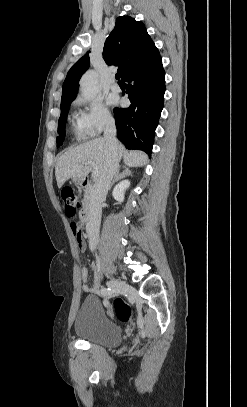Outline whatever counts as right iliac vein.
<instances>
[{
    "label": "right iliac vein",
    "instance_id": "63e3f726",
    "mask_svg": "<svg viewBox=\"0 0 247 407\" xmlns=\"http://www.w3.org/2000/svg\"><path fill=\"white\" fill-rule=\"evenodd\" d=\"M107 285L110 288H112L116 291H119L121 293H124V294H127L132 291V287L129 284H127L123 281L115 280V279L109 280L107 282Z\"/></svg>",
    "mask_w": 247,
    "mask_h": 407
}]
</instances>
